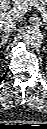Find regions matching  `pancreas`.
Instances as JSON below:
<instances>
[{"mask_svg": "<svg viewBox=\"0 0 47 129\" xmlns=\"http://www.w3.org/2000/svg\"><path fill=\"white\" fill-rule=\"evenodd\" d=\"M37 1H40L43 5H45L47 3V0H37ZM25 2H30V0H13V5L14 6L22 5Z\"/></svg>", "mask_w": 47, "mask_h": 129, "instance_id": "cf45deb5", "label": "pancreas"}]
</instances>
